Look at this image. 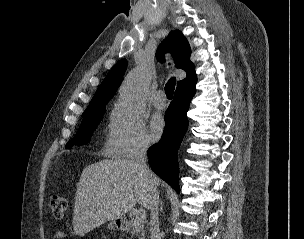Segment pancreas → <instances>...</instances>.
I'll list each match as a JSON object with an SVG mask.
<instances>
[{
  "label": "pancreas",
  "mask_w": 304,
  "mask_h": 239,
  "mask_svg": "<svg viewBox=\"0 0 304 239\" xmlns=\"http://www.w3.org/2000/svg\"><path fill=\"white\" fill-rule=\"evenodd\" d=\"M132 236L138 237V239L144 238V222H137L135 219L130 224Z\"/></svg>",
  "instance_id": "cf45deb5"
}]
</instances>
